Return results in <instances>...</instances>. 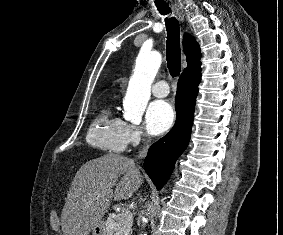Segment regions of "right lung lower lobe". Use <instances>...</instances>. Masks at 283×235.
<instances>
[{
    "instance_id": "98d812e1",
    "label": "right lung lower lobe",
    "mask_w": 283,
    "mask_h": 235,
    "mask_svg": "<svg viewBox=\"0 0 283 235\" xmlns=\"http://www.w3.org/2000/svg\"><path fill=\"white\" fill-rule=\"evenodd\" d=\"M200 80V73L181 75L175 97V125L150 147L144 160V169L158 190L168 181L176 160L189 143Z\"/></svg>"
}]
</instances>
